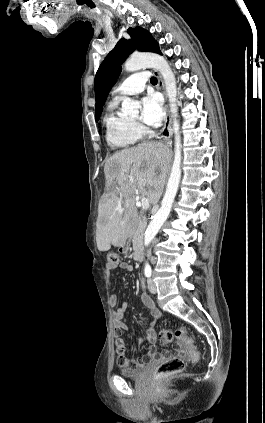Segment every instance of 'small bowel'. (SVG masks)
Listing matches in <instances>:
<instances>
[{
	"label": "small bowel",
	"mask_w": 265,
	"mask_h": 423,
	"mask_svg": "<svg viewBox=\"0 0 265 423\" xmlns=\"http://www.w3.org/2000/svg\"><path fill=\"white\" fill-rule=\"evenodd\" d=\"M116 268H120V269H123V270H126V271H132V266L130 264L126 263V262L119 261L115 265L108 263L107 266H106V269H107V274H108V281L111 285L113 284V278L111 276V271L116 269ZM141 301L143 302V304L149 310V313H150V321H149L148 328L146 330L145 339L139 341V344H141L143 341H147L151 344V347L148 349V351L146 352L143 359L132 360V359L128 358L125 355V350H126L125 342L122 338H120V335L128 329V326H127L126 321H125V314H126V311L128 309V303L124 302V303L120 304L113 311V326H114L115 334H116V337H117L115 344H116L117 352L119 353V363L130 362L135 367H142L147 362V360L153 359V358L156 357L157 352H156L155 347L153 346V343L156 340L155 325L157 324V322H158V320L160 319V316H161L160 311L156 308L154 302L151 300L150 297L142 294L141 295ZM110 303L113 306L117 304V296L116 295H112L110 297Z\"/></svg>",
	"instance_id": "small-bowel-1"
}]
</instances>
